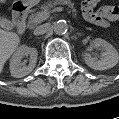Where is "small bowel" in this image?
<instances>
[{
    "label": "small bowel",
    "mask_w": 119,
    "mask_h": 119,
    "mask_svg": "<svg viewBox=\"0 0 119 119\" xmlns=\"http://www.w3.org/2000/svg\"><path fill=\"white\" fill-rule=\"evenodd\" d=\"M84 18L101 27H107L111 22L119 18V8L117 6H99L95 0H85L81 4Z\"/></svg>",
    "instance_id": "c3829d8e"
}]
</instances>
